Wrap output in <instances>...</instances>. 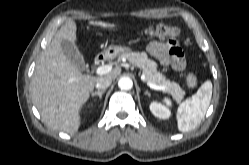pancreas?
Masks as SVG:
<instances>
[{"label": "pancreas", "instance_id": "cf45deb5", "mask_svg": "<svg viewBox=\"0 0 249 165\" xmlns=\"http://www.w3.org/2000/svg\"><path fill=\"white\" fill-rule=\"evenodd\" d=\"M119 58H124L134 66L141 68L146 82L164 86L165 89L163 91L171 94L177 102L183 99L185 92L179 84L171 82L161 72L157 71V64L153 60L148 59L145 52H125Z\"/></svg>", "mask_w": 249, "mask_h": 165}]
</instances>
